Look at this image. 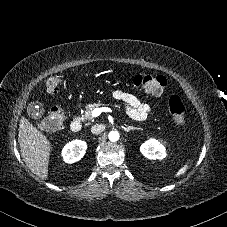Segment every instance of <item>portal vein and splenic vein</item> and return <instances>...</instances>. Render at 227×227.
I'll return each instance as SVG.
<instances>
[{"label": "portal vein and splenic vein", "instance_id": "1", "mask_svg": "<svg viewBox=\"0 0 227 227\" xmlns=\"http://www.w3.org/2000/svg\"><path fill=\"white\" fill-rule=\"evenodd\" d=\"M102 112H112V109L108 107L96 108L92 111V116L98 117Z\"/></svg>", "mask_w": 227, "mask_h": 227}]
</instances>
